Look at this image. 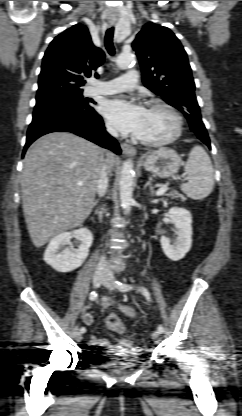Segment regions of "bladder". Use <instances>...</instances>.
<instances>
[{
	"label": "bladder",
	"mask_w": 242,
	"mask_h": 416,
	"mask_svg": "<svg viewBox=\"0 0 242 416\" xmlns=\"http://www.w3.org/2000/svg\"><path fill=\"white\" fill-rule=\"evenodd\" d=\"M126 366H123V365H113L112 366V368L113 369H115V370H119V369H122V368H125Z\"/></svg>",
	"instance_id": "bladder-1"
}]
</instances>
